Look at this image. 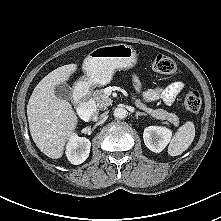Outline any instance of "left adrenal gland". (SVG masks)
I'll return each instance as SVG.
<instances>
[{
	"mask_svg": "<svg viewBox=\"0 0 221 221\" xmlns=\"http://www.w3.org/2000/svg\"><path fill=\"white\" fill-rule=\"evenodd\" d=\"M138 116H146V114H145V113H142V112H136V113H135L136 119H138Z\"/></svg>",
	"mask_w": 221,
	"mask_h": 221,
	"instance_id": "a2214340",
	"label": "left adrenal gland"
}]
</instances>
